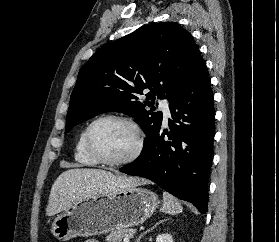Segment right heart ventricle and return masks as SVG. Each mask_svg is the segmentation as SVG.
<instances>
[{"mask_svg": "<svg viewBox=\"0 0 279 242\" xmlns=\"http://www.w3.org/2000/svg\"><path fill=\"white\" fill-rule=\"evenodd\" d=\"M86 130L87 127L81 131L77 139L75 145V151H74V159L77 163L81 164L82 166L94 167L98 164V162L90 156V154L86 149V144H85Z\"/></svg>", "mask_w": 279, "mask_h": 242, "instance_id": "e07e8e85", "label": "right heart ventricle"}]
</instances>
